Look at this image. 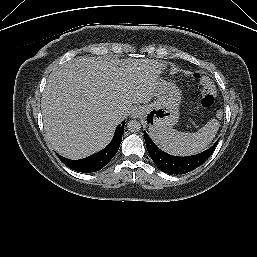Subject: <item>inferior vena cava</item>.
<instances>
[{
    "label": "inferior vena cava",
    "instance_id": "obj_1",
    "mask_svg": "<svg viewBox=\"0 0 257 257\" xmlns=\"http://www.w3.org/2000/svg\"><path fill=\"white\" fill-rule=\"evenodd\" d=\"M115 118L121 120L123 119V114H116Z\"/></svg>",
    "mask_w": 257,
    "mask_h": 257
}]
</instances>
